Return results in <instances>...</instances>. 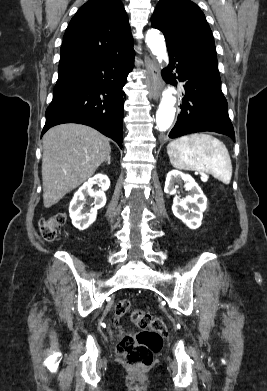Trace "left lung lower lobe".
<instances>
[{"mask_svg":"<svg viewBox=\"0 0 267 391\" xmlns=\"http://www.w3.org/2000/svg\"><path fill=\"white\" fill-rule=\"evenodd\" d=\"M167 49L170 63L163 69L162 76L172 85L177 83L176 79L184 83L181 112L169 137L212 131L228 135L235 141L217 63L172 45H167ZM174 71L178 76L174 75Z\"/></svg>","mask_w":267,"mask_h":391,"instance_id":"0a47b994","label":"left lung lower lobe"}]
</instances>
